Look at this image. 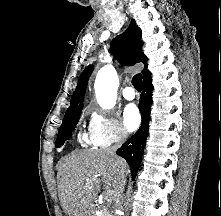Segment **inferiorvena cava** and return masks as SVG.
<instances>
[{"mask_svg":"<svg viewBox=\"0 0 221 216\" xmlns=\"http://www.w3.org/2000/svg\"><path fill=\"white\" fill-rule=\"evenodd\" d=\"M126 137H127V132L125 130H121L115 145L105 149V152L107 154L117 158L115 152L121 146V144L125 141ZM125 183H126L125 173L118 166V184L115 189L116 207L118 209L120 208V205H121V198H122V194L124 191Z\"/></svg>","mask_w":221,"mask_h":216,"instance_id":"602c4592","label":"inferior vena cava"}]
</instances>
